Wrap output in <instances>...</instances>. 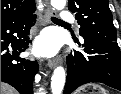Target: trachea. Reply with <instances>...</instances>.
<instances>
[{
    "label": "trachea",
    "mask_w": 121,
    "mask_h": 94,
    "mask_svg": "<svg viewBox=\"0 0 121 94\" xmlns=\"http://www.w3.org/2000/svg\"><path fill=\"white\" fill-rule=\"evenodd\" d=\"M52 21L63 22L64 23V21H62L61 19L55 18V17L52 18Z\"/></svg>",
    "instance_id": "1"
}]
</instances>
